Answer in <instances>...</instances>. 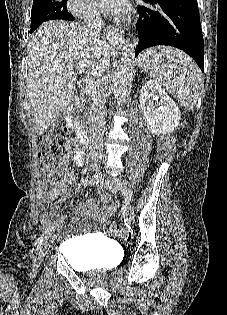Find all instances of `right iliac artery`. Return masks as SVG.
<instances>
[{
  "instance_id": "82829eb1",
  "label": "right iliac artery",
  "mask_w": 227,
  "mask_h": 315,
  "mask_svg": "<svg viewBox=\"0 0 227 315\" xmlns=\"http://www.w3.org/2000/svg\"><path fill=\"white\" fill-rule=\"evenodd\" d=\"M103 172H98L96 174H94L90 180H89V185H96L98 184L102 177H103ZM55 230V226H50L35 242V245H34V248L32 249V255H33V252L35 250L38 249L39 245L42 243L43 239H46L52 232H54Z\"/></svg>"
}]
</instances>
